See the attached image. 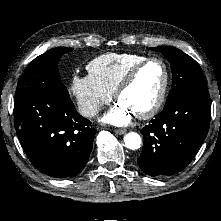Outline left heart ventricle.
Instances as JSON below:
<instances>
[{
	"label": "left heart ventricle",
	"mask_w": 221,
	"mask_h": 221,
	"mask_svg": "<svg viewBox=\"0 0 221 221\" xmlns=\"http://www.w3.org/2000/svg\"><path fill=\"white\" fill-rule=\"evenodd\" d=\"M164 80V71L159 63L145 66L134 82L120 95L118 102L124 104L133 114L150 108L156 101Z\"/></svg>",
	"instance_id": "b2bd125f"
}]
</instances>
